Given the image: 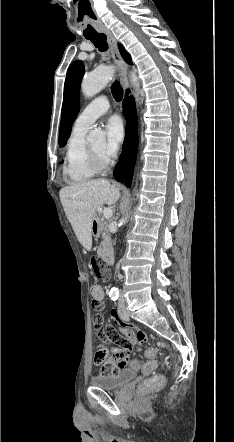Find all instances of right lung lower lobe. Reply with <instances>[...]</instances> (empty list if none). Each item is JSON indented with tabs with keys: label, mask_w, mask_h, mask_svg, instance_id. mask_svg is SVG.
Segmentation results:
<instances>
[{
	"label": "right lung lower lobe",
	"mask_w": 234,
	"mask_h": 442,
	"mask_svg": "<svg viewBox=\"0 0 234 442\" xmlns=\"http://www.w3.org/2000/svg\"><path fill=\"white\" fill-rule=\"evenodd\" d=\"M123 108L128 126L126 128V135L120 161L114 169V177L117 181L124 183L127 187H130L138 144L136 109L132 96L125 98L123 101Z\"/></svg>",
	"instance_id": "obj_1"
}]
</instances>
